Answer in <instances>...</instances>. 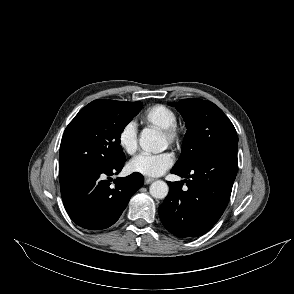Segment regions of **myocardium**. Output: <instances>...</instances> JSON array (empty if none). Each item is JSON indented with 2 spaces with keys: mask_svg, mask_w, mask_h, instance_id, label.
I'll list each match as a JSON object with an SVG mask.
<instances>
[{
  "mask_svg": "<svg viewBox=\"0 0 294 294\" xmlns=\"http://www.w3.org/2000/svg\"><path fill=\"white\" fill-rule=\"evenodd\" d=\"M162 136L167 140V143L173 147H179L183 140L182 129L176 124L161 130Z\"/></svg>",
  "mask_w": 294,
  "mask_h": 294,
  "instance_id": "myocardium-1",
  "label": "myocardium"
}]
</instances>
